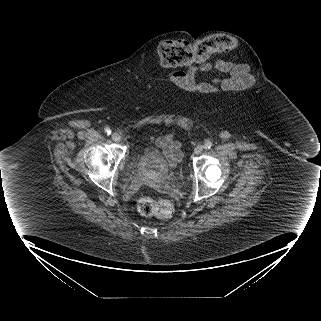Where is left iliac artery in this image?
<instances>
[{"mask_svg": "<svg viewBox=\"0 0 321 321\" xmlns=\"http://www.w3.org/2000/svg\"><path fill=\"white\" fill-rule=\"evenodd\" d=\"M212 142L211 141H206L205 144H204V148L205 149H210L212 147Z\"/></svg>", "mask_w": 321, "mask_h": 321, "instance_id": "left-iliac-artery-1", "label": "left iliac artery"}]
</instances>
